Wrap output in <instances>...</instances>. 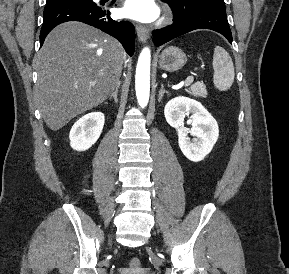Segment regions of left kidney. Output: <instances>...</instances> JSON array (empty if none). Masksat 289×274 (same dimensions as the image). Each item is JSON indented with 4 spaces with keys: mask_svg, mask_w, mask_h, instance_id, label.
Here are the masks:
<instances>
[{
    "mask_svg": "<svg viewBox=\"0 0 289 274\" xmlns=\"http://www.w3.org/2000/svg\"><path fill=\"white\" fill-rule=\"evenodd\" d=\"M164 115L168 124L177 130L179 147L189 160L199 162L211 152L219 136L218 124L198 101L173 98L165 105ZM188 115L192 124L190 131L183 127ZM188 133L195 138L191 140Z\"/></svg>",
    "mask_w": 289,
    "mask_h": 274,
    "instance_id": "obj_1",
    "label": "left kidney"
}]
</instances>
